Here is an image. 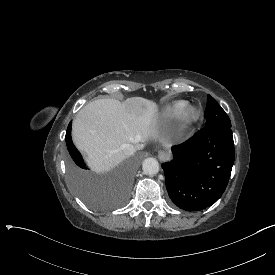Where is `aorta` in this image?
Instances as JSON below:
<instances>
[{"instance_id":"obj_1","label":"aorta","mask_w":275,"mask_h":275,"mask_svg":"<svg viewBox=\"0 0 275 275\" xmlns=\"http://www.w3.org/2000/svg\"><path fill=\"white\" fill-rule=\"evenodd\" d=\"M142 168L144 174L153 176L159 171V163L155 158H146L143 161Z\"/></svg>"}]
</instances>
